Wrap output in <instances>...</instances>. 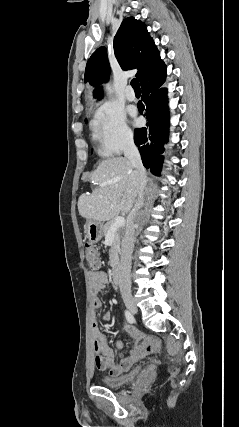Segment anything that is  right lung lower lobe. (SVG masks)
<instances>
[{"instance_id":"obj_1","label":"right lung lower lobe","mask_w":239,"mask_h":427,"mask_svg":"<svg viewBox=\"0 0 239 427\" xmlns=\"http://www.w3.org/2000/svg\"><path fill=\"white\" fill-rule=\"evenodd\" d=\"M166 78V70L159 76L144 82L142 86L141 114L148 123L145 127L135 129L134 141L141 154L143 165L154 175H159L163 162V145L168 140L169 111L167 90L160 87Z\"/></svg>"}]
</instances>
